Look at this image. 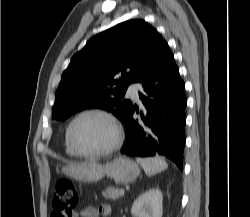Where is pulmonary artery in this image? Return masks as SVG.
<instances>
[{"label": "pulmonary artery", "instance_id": "e3ab8cb5", "mask_svg": "<svg viewBox=\"0 0 250 217\" xmlns=\"http://www.w3.org/2000/svg\"><path fill=\"white\" fill-rule=\"evenodd\" d=\"M138 91L139 86L137 84H130L127 88V95L137 101L139 99Z\"/></svg>", "mask_w": 250, "mask_h": 217}]
</instances>
